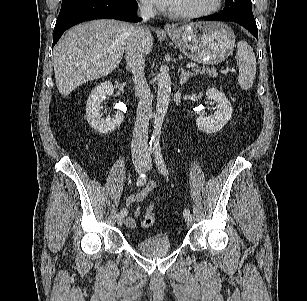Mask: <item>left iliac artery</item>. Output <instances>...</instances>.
I'll return each mask as SVG.
<instances>
[{
  "label": "left iliac artery",
  "mask_w": 307,
  "mask_h": 301,
  "mask_svg": "<svg viewBox=\"0 0 307 301\" xmlns=\"http://www.w3.org/2000/svg\"><path fill=\"white\" fill-rule=\"evenodd\" d=\"M154 157H155V162H156V165H157L159 171L163 175H167L168 170H167L166 164L164 162V159H163V156H162V153H161V148L159 146H156L154 148ZM189 213H190L189 209H184V211H183L184 216L189 214Z\"/></svg>",
  "instance_id": "left-iliac-artery-1"
}]
</instances>
